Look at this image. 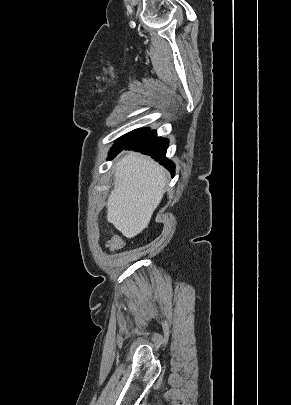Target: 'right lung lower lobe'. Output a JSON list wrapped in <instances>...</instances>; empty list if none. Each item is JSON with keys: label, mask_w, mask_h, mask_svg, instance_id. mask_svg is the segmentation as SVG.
<instances>
[{"label": "right lung lower lobe", "mask_w": 291, "mask_h": 405, "mask_svg": "<svg viewBox=\"0 0 291 405\" xmlns=\"http://www.w3.org/2000/svg\"><path fill=\"white\" fill-rule=\"evenodd\" d=\"M156 135L157 134L155 130L147 131L137 139L133 140L127 145L122 146L116 152V154L119 153L122 149H125L134 150L142 152L143 154L150 155L152 158L166 167L171 172L172 176H174L175 165L165 156L169 141L168 139L158 138L156 137ZM115 155L111 156V158Z\"/></svg>", "instance_id": "obj_1"}]
</instances>
